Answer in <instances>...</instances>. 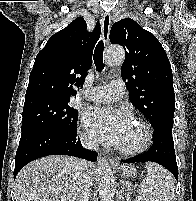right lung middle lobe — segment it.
I'll return each mask as SVG.
<instances>
[{"instance_id":"right-lung-middle-lobe-1","label":"right lung middle lobe","mask_w":196,"mask_h":201,"mask_svg":"<svg viewBox=\"0 0 196 201\" xmlns=\"http://www.w3.org/2000/svg\"><path fill=\"white\" fill-rule=\"evenodd\" d=\"M78 111L69 106L68 99L36 97L26 99L21 131L48 128L65 133L77 129Z\"/></svg>"}]
</instances>
